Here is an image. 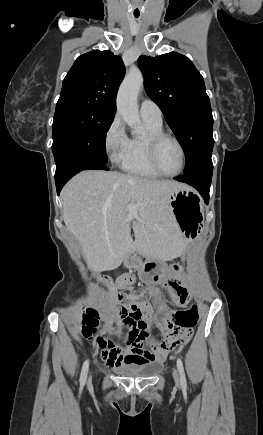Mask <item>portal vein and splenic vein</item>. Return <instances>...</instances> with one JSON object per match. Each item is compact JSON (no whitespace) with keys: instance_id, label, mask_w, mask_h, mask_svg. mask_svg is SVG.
<instances>
[{"instance_id":"portal-vein-and-splenic-vein-1","label":"portal vein and splenic vein","mask_w":263,"mask_h":435,"mask_svg":"<svg viewBox=\"0 0 263 435\" xmlns=\"http://www.w3.org/2000/svg\"><path fill=\"white\" fill-rule=\"evenodd\" d=\"M128 211V220H132L134 217H136V211H137V206L132 204L129 205L126 209Z\"/></svg>"}]
</instances>
